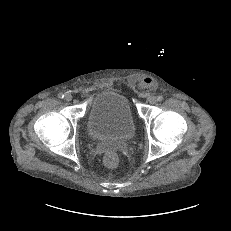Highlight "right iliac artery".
Masks as SVG:
<instances>
[{
    "mask_svg": "<svg viewBox=\"0 0 231 231\" xmlns=\"http://www.w3.org/2000/svg\"><path fill=\"white\" fill-rule=\"evenodd\" d=\"M58 97H59L60 99H63V98H64V94H63V93H60V94L58 95Z\"/></svg>",
    "mask_w": 231,
    "mask_h": 231,
    "instance_id": "1",
    "label": "right iliac artery"
}]
</instances>
